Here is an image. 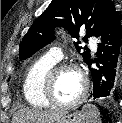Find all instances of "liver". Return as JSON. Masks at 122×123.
<instances>
[{"instance_id": "obj_1", "label": "liver", "mask_w": 122, "mask_h": 123, "mask_svg": "<svg viewBox=\"0 0 122 123\" xmlns=\"http://www.w3.org/2000/svg\"><path fill=\"white\" fill-rule=\"evenodd\" d=\"M64 111L21 109L15 113L12 123H53Z\"/></svg>"}]
</instances>
